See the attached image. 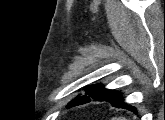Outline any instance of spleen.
I'll use <instances>...</instances> for the list:
<instances>
[{"instance_id": "spleen-1", "label": "spleen", "mask_w": 165, "mask_h": 120, "mask_svg": "<svg viewBox=\"0 0 165 120\" xmlns=\"http://www.w3.org/2000/svg\"><path fill=\"white\" fill-rule=\"evenodd\" d=\"M112 120H126V119H125V118H123V117H119V118L114 117V118H112Z\"/></svg>"}]
</instances>
